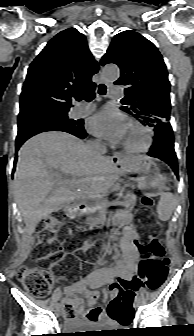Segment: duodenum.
I'll return each mask as SVG.
<instances>
[{
    "label": "duodenum",
    "mask_w": 194,
    "mask_h": 336,
    "mask_svg": "<svg viewBox=\"0 0 194 336\" xmlns=\"http://www.w3.org/2000/svg\"><path fill=\"white\" fill-rule=\"evenodd\" d=\"M88 206L83 203H74L68 211V217L70 219H76L84 214H86Z\"/></svg>",
    "instance_id": "obj_1"
}]
</instances>
